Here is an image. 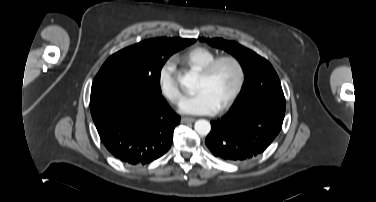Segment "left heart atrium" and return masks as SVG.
<instances>
[{"instance_id":"39dd6f15","label":"left heart atrium","mask_w":376,"mask_h":202,"mask_svg":"<svg viewBox=\"0 0 376 202\" xmlns=\"http://www.w3.org/2000/svg\"><path fill=\"white\" fill-rule=\"evenodd\" d=\"M219 105L208 89L202 88L194 94L184 97L179 104V109L187 114H212L219 109Z\"/></svg>"}]
</instances>
